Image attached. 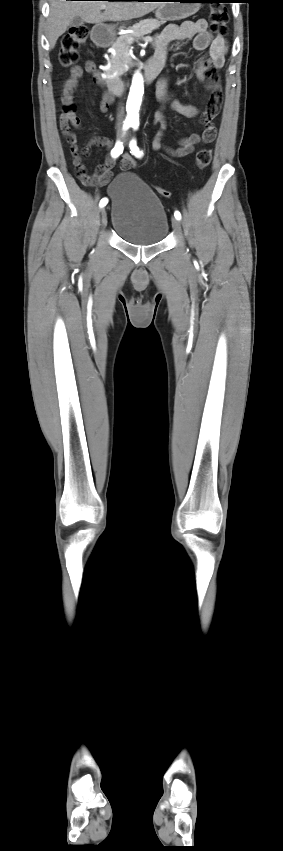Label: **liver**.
<instances>
[{"instance_id":"obj_1","label":"liver","mask_w":283,"mask_h":851,"mask_svg":"<svg viewBox=\"0 0 283 851\" xmlns=\"http://www.w3.org/2000/svg\"><path fill=\"white\" fill-rule=\"evenodd\" d=\"M162 2L144 1H67L50 0V13L46 32L50 48L64 34L75 16L85 22L101 24L105 21H127L142 17L159 8ZM105 6V11L101 10Z\"/></svg>"}]
</instances>
